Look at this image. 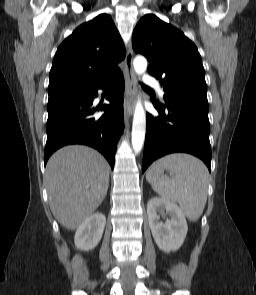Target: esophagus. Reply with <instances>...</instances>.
Instances as JSON below:
<instances>
[{
	"instance_id": "esophagus-1",
	"label": "esophagus",
	"mask_w": 256,
	"mask_h": 295,
	"mask_svg": "<svg viewBox=\"0 0 256 295\" xmlns=\"http://www.w3.org/2000/svg\"><path fill=\"white\" fill-rule=\"evenodd\" d=\"M126 69V89L124 97V113L127 117L131 116L134 111V97H135V79L133 72V48L131 41L129 43L128 52L125 58Z\"/></svg>"
}]
</instances>
